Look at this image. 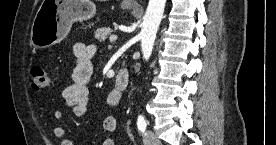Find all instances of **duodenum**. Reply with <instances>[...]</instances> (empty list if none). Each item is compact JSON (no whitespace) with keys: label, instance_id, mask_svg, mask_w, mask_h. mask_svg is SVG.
<instances>
[{"label":"duodenum","instance_id":"410a0bca","mask_svg":"<svg viewBox=\"0 0 276 145\" xmlns=\"http://www.w3.org/2000/svg\"><path fill=\"white\" fill-rule=\"evenodd\" d=\"M129 84V72L125 68L119 69L115 82L114 89L119 94H122Z\"/></svg>","mask_w":276,"mask_h":145}]
</instances>
